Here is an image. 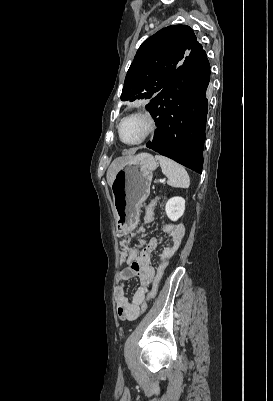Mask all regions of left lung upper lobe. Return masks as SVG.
<instances>
[{
    "mask_svg": "<svg viewBox=\"0 0 273 401\" xmlns=\"http://www.w3.org/2000/svg\"><path fill=\"white\" fill-rule=\"evenodd\" d=\"M197 42L186 25L168 26L145 40L127 72L120 99L154 98L169 82Z\"/></svg>",
    "mask_w": 273,
    "mask_h": 401,
    "instance_id": "obj_1",
    "label": "left lung upper lobe"
}]
</instances>
